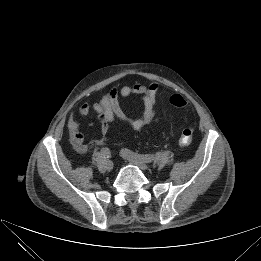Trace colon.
<instances>
[{
  "label": "colon",
  "mask_w": 261,
  "mask_h": 261,
  "mask_svg": "<svg viewBox=\"0 0 261 261\" xmlns=\"http://www.w3.org/2000/svg\"><path fill=\"white\" fill-rule=\"evenodd\" d=\"M169 102L172 106L177 108H183L186 106V101L180 95H172L169 98ZM193 140V131L190 128H185L180 135L179 144L181 146H188Z\"/></svg>",
  "instance_id": "obj_1"
}]
</instances>
